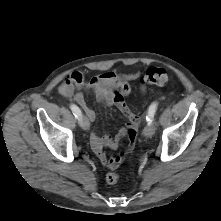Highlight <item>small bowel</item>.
<instances>
[{
    "label": "small bowel",
    "mask_w": 221,
    "mask_h": 221,
    "mask_svg": "<svg viewBox=\"0 0 221 221\" xmlns=\"http://www.w3.org/2000/svg\"><path fill=\"white\" fill-rule=\"evenodd\" d=\"M139 77V73L131 74H117L115 72H105L100 75L94 76L88 81L80 72H73L69 74L59 87V93L67 98H72L84 110L87 118L94 122L96 120L95 111L87 104L82 90L91 91L95 94L98 102L107 106L116 105L115 95L120 87L130 81ZM140 91L145 93L147 87L141 85ZM128 122L127 126L121 128L115 136L101 135L96 130L90 134L89 140L93 152L97 155L100 161L108 166V160L111 158L106 149L116 150L119 146L121 139L127 134V129L135 122L137 116L129 110L126 115Z\"/></svg>",
    "instance_id": "1"
}]
</instances>
